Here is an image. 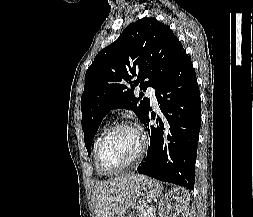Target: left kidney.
<instances>
[{
  "label": "left kidney",
  "instance_id": "5707ae66",
  "mask_svg": "<svg viewBox=\"0 0 253 217\" xmlns=\"http://www.w3.org/2000/svg\"><path fill=\"white\" fill-rule=\"evenodd\" d=\"M175 200V203H173ZM190 195L183 188H174L170 190L160 200L159 216L160 217H185L188 211Z\"/></svg>",
  "mask_w": 253,
  "mask_h": 217
}]
</instances>
